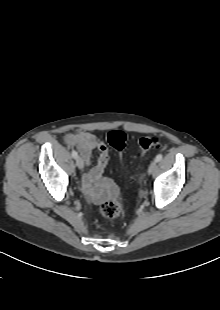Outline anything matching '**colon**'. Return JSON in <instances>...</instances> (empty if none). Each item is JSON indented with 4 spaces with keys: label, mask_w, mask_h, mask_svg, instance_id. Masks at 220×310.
I'll use <instances>...</instances> for the list:
<instances>
[{
    "label": "colon",
    "mask_w": 220,
    "mask_h": 310,
    "mask_svg": "<svg viewBox=\"0 0 220 310\" xmlns=\"http://www.w3.org/2000/svg\"><path fill=\"white\" fill-rule=\"evenodd\" d=\"M107 141L114 149L121 152L126 144V135L122 131H111L107 136ZM159 145L160 140L156 136H145L139 140V148L143 154L157 149ZM118 194L119 190L115 186L111 198L101 204L100 212L103 217L107 219H115L122 213L123 204Z\"/></svg>",
    "instance_id": "colon-1"
}]
</instances>
